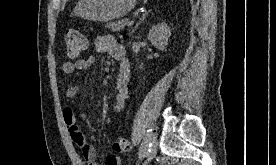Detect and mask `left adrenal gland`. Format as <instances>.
<instances>
[{
	"label": "left adrenal gland",
	"mask_w": 276,
	"mask_h": 165,
	"mask_svg": "<svg viewBox=\"0 0 276 165\" xmlns=\"http://www.w3.org/2000/svg\"><path fill=\"white\" fill-rule=\"evenodd\" d=\"M149 12H150V10L143 13L142 18H140L139 22L136 23L135 27L131 31V34L138 28V26L141 24V22L146 19Z\"/></svg>",
	"instance_id": "a2214340"
}]
</instances>
